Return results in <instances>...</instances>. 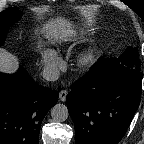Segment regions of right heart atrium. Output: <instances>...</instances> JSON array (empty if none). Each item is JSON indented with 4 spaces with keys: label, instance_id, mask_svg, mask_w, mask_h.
<instances>
[{
    "label": "right heart atrium",
    "instance_id": "obj_1",
    "mask_svg": "<svg viewBox=\"0 0 144 144\" xmlns=\"http://www.w3.org/2000/svg\"><path fill=\"white\" fill-rule=\"evenodd\" d=\"M42 59L45 67L50 70H54L60 66V60L57 54L50 49H44L42 52Z\"/></svg>",
    "mask_w": 144,
    "mask_h": 144
}]
</instances>
